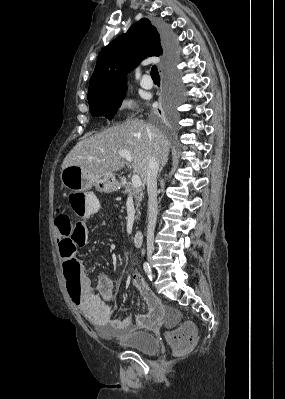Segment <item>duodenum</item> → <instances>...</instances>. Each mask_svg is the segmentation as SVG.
Instances as JSON below:
<instances>
[{"label": "duodenum", "instance_id": "obj_1", "mask_svg": "<svg viewBox=\"0 0 285 399\" xmlns=\"http://www.w3.org/2000/svg\"><path fill=\"white\" fill-rule=\"evenodd\" d=\"M145 238V231L144 230H137L133 235V242L135 245H141Z\"/></svg>", "mask_w": 285, "mask_h": 399}]
</instances>
